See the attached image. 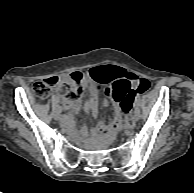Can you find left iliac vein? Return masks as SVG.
<instances>
[{"instance_id":"4c4485c4","label":"left iliac vein","mask_w":194,"mask_h":193,"mask_svg":"<svg viewBox=\"0 0 194 193\" xmlns=\"http://www.w3.org/2000/svg\"><path fill=\"white\" fill-rule=\"evenodd\" d=\"M134 117L136 122L140 119V110L137 107L134 109Z\"/></svg>"}]
</instances>
